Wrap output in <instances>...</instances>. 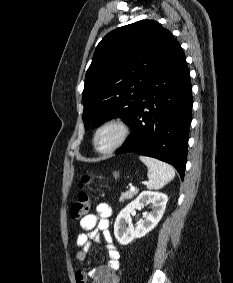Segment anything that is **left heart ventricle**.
<instances>
[{"label": "left heart ventricle", "mask_w": 233, "mask_h": 283, "mask_svg": "<svg viewBox=\"0 0 233 283\" xmlns=\"http://www.w3.org/2000/svg\"><path fill=\"white\" fill-rule=\"evenodd\" d=\"M117 132L113 128H107L101 131L97 137V146L100 149H106L116 140Z\"/></svg>", "instance_id": "b2bd125f"}]
</instances>
